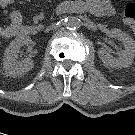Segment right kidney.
Wrapping results in <instances>:
<instances>
[{"instance_id": "right-kidney-1", "label": "right kidney", "mask_w": 135, "mask_h": 135, "mask_svg": "<svg viewBox=\"0 0 135 135\" xmlns=\"http://www.w3.org/2000/svg\"><path fill=\"white\" fill-rule=\"evenodd\" d=\"M24 45H32L30 37H18L14 39L6 48L4 52L3 69L8 76H21L34 67V62L31 58H25L21 61H17L19 50Z\"/></svg>"}]
</instances>
